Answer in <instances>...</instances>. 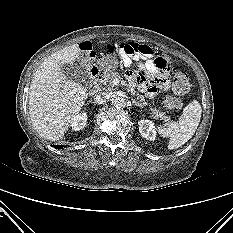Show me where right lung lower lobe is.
I'll return each mask as SVG.
<instances>
[{
	"instance_id": "1",
	"label": "right lung lower lobe",
	"mask_w": 233,
	"mask_h": 233,
	"mask_svg": "<svg viewBox=\"0 0 233 233\" xmlns=\"http://www.w3.org/2000/svg\"><path fill=\"white\" fill-rule=\"evenodd\" d=\"M56 149H63L65 146L64 145H52Z\"/></svg>"
}]
</instances>
